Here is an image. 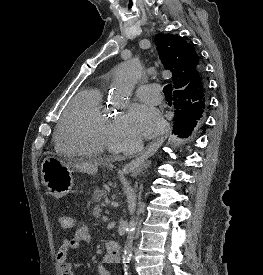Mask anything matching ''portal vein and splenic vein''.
Wrapping results in <instances>:
<instances>
[{
  "mask_svg": "<svg viewBox=\"0 0 263 275\" xmlns=\"http://www.w3.org/2000/svg\"><path fill=\"white\" fill-rule=\"evenodd\" d=\"M102 219H103L104 221H108V217H107V216H103Z\"/></svg>",
  "mask_w": 263,
  "mask_h": 275,
  "instance_id": "18ae733b",
  "label": "portal vein and splenic vein"
}]
</instances>
